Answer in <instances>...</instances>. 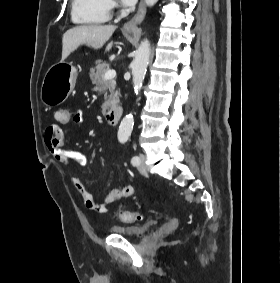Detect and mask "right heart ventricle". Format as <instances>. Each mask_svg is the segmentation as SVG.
Segmentation results:
<instances>
[{
    "label": "right heart ventricle",
    "mask_w": 280,
    "mask_h": 283,
    "mask_svg": "<svg viewBox=\"0 0 280 283\" xmlns=\"http://www.w3.org/2000/svg\"><path fill=\"white\" fill-rule=\"evenodd\" d=\"M71 18L74 23L95 25L110 19L108 0H72Z\"/></svg>",
    "instance_id": "obj_1"
}]
</instances>
